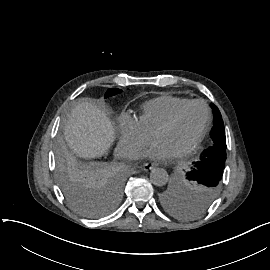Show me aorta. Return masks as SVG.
Masks as SVG:
<instances>
[{"label": "aorta", "instance_id": "762f6f07", "mask_svg": "<svg viewBox=\"0 0 270 270\" xmlns=\"http://www.w3.org/2000/svg\"><path fill=\"white\" fill-rule=\"evenodd\" d=\"M150 180L155 186H164L168 182V173L165 169L155 168L151 171Z\"/></svg>", "mask_w": 270, "mask_h": 270}]
</instances>
